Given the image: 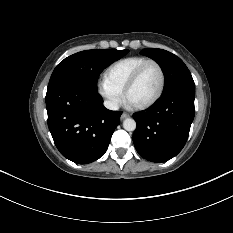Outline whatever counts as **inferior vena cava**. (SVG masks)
<instances>
[{
  "label": "inferior vena cava",
  "instance_id": "602c4592",
  "mask_svg": "<svg viewBox=\"0 0 233 233\" xmlns=\"http://www.w3.org/2000/svg\"><path fill=\"white\" fill-rule=\"evenodd\" d=\"M104 106L109 110L115 111L119 109V105L115 101H104Z\"/></svg>",
  "mask_w": 233,
  "mask_h": 233
}]
</instances>
